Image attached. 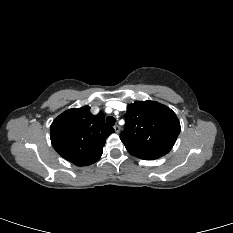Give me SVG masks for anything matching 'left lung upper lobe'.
<instances>
[{
    "label": "left lung upper lobe",
    "mask_w": 233,
    "mask_h": 233,
    "mask_svg": "<svg viewBox=\"0 0 233 233\" xmlns=\"http://www.w3.org/2000/svg\"><path fill=\"white\" fill-rule=\"evenodd\" d=\"M126 127L120 135L127 151L141 159L166 155L180 133L175 113L154 101H135L124 115Z\"/></svg>",
    "instance_id": "1"
}]
</instances>
